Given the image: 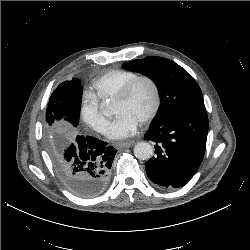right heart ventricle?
<instances>
[{"label":"right heart ventricle","instance_id":"1","mask_svg":"<svg viewBox=\"0 0 250 250\" xmlns=\"http://www.w3.org/2000/svg\"><path fill=\"white\" fill-rule=\"evenodd\" d=\"M137 76V73L128 70L107 71L93 81L89 94L99 103L115 100L119 91Z\"/></svg>","mask_w":250,"mask_h":250}]
</instances>
